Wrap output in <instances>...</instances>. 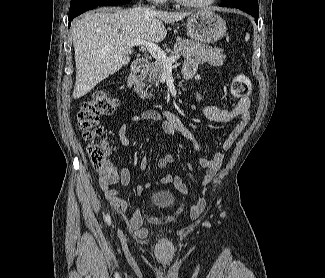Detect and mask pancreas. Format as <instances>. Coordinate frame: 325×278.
Instances as JSON below:
<instances>
[{
  "mask_svg": "<svg viewBox=\"0 0 325 278\" xmlns=\"http://www.w3.org/2000/svg\"><path fill=\"white\" fill-rule=\"evenodd\" d=\"M183 56L184 58H194L198 63H208L211 65H222L226 56L223 54V49L217 47H209L200 42H194L188 39L177 38V42L174 45V50L170 53L172 56ZM164 71V66L159 61L152 63L147 81L152 84H157ZM142 97H151L152 94L147 92H141Z\"/></svg>",
  "mask_w": 325,
  "mask_h": 278,
  "instance_id": "pancreas-1",
  "label": "pancreas"
}]
</instances>
